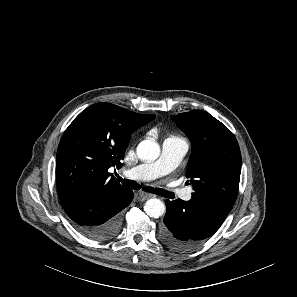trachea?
<instances>
[{
	"label": "trachea",
	"mask_w": 297,
	"mask_h": 297,
	"mask_svg": "<svg viewBox=\"0 0 297 297\" xmlns=\"http://www.w3.org/2000/svg\"><path fill=\"white\" fill-rule=\"evenodd\" d=\"M118 179L121 181V183L128 187V188H132V189H136V190H139L141 188V186L136 183L135 181H130V180H125V179H122L120 176H118ZM143 189L147 192H150V193H154V194H157L159 196H162V197H166V198H174V194L173 193H170L168 191H165L163 189H159V188H153V187H143Z\"/></svg>",
	"instance_id": "obj_1"
}]
</instances>
